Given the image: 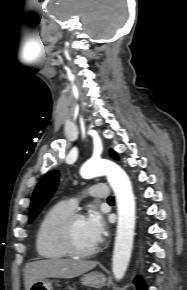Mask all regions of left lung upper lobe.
<instances>
[{"label": "left lung upper lobe", "mask_w": 187, "mask_h": 290, "mask_svg": "<svg viewBox=\"0 0 187 290\" xmlns=\"http://www.w3.org/2000/svg\"><path fill=\"white\" fill-rule=\"evenodd\" d=\"M110 155L114 159H118L116 153L110 150ZM59 173L56 170L48 172L37 184L30 206V217L29 222L31 223L38 213L41 211L42 207L50 199L54 191L56 190L58 184Z\"/></svg>", "instance_id": "left-lung-upper-lobe-1"}]
</instances>
